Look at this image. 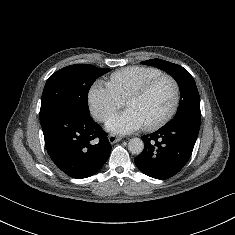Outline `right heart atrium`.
Listing matches in <instances>:
<instances>
[{
  "label": "right heart atrium",
  "instance_id": "right-heart-atrium-1",
  "mask_svg": "<svg viewBox=\"0 0 235 235\" xmlns=\"http://www.w3.org/2000/svg\"><path fill=\"white\" fill-rule=\"evenodd\" d=\"M88 104L92 115L99 121L107 120L124 104L108 83L95 82L88 93Z\"/></svg>",
  "mask_w": 235,
  "mask_h": 235
}]
</instances>
